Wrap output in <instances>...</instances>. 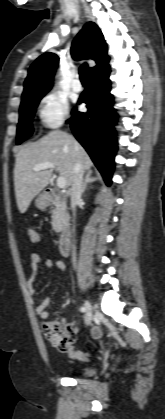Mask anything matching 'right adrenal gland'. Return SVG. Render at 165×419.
I'll return each mask as SVG.
<instances>
[{"label": "right adrenal gland", "mask_w": 165, "mask_h": 419, "mask_svg": "<svg viewBox=\"0 0 165 419\" xmlns=\"http://www.w3.org/2000/svg\"><path fill=\"white\" fill-rule=\"evenodd\" d=\"M92 170H88L86 173V176L84 178V182H83V188H82V193L85 192L87 184L96 181L95 177H92Z\"/></svg>", "instance_id": "1"}]
</instances>
